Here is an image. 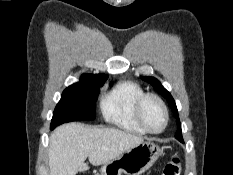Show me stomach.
I'll use <instances>...</instances> for the list:
<instances>
[{
  "instance_id": "obj_1",
  "label": "stomach",
  "mask_w": 233,
  "mask_h": 175,
  "mask_svg": "<svg viewBox=\"0 0 233 175\" xmlns=\"http://www.w3.org/2000/svg\"><path fill=\"white\" fill-rule=\"evenodd\" d=\"M160 146L151 140L143 141L118 158L102 165L100 175H141L147 171L161 155Z\"/></svg>"
}]
</instances>
